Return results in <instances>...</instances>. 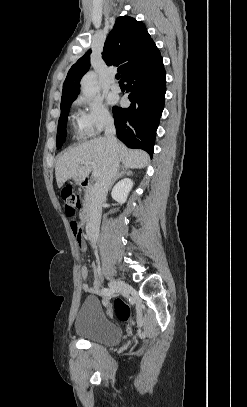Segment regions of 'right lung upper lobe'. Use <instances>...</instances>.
Here are the masks:
<instances>
[{
    "label": "right lung upper lobe",
    "instance_id": "obj_1",
    "mask_svg": "<svg viewBox=\"0 0 247 407\" xmlns=\"http://www.w3.org/2000/svg\"><path fill=\"white\" fill-rule=\"evenodd\" d=\"M89 50L69 70L63 84L61 104L75 100L79 94L80 80L90 68ZM103 59L107 65L119 66L122 80L135 68L160 56V51L151 39L143 22L129 16L116 19L103 48Z\"/></svg>",
    "mask_w": 247,
    "mask_h": 407
}]
</instances>
